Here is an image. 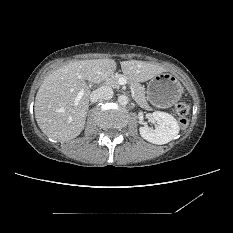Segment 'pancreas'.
Here are the masks:
<instances>
[{
  "instance_id": "pancreas-1",
  "label": "pancreas",
  "mask_w": 233,
  "mask_h": 233,
  "mask_svg": "<svg viewBox=\"0 0 233 233\" xmlns=\"http://www.w3.org/2000/svg\"><path fill=\"white\" fill-rule=\"evenodd\" d=\"M121 77H125L131 84L133 91H134L135 101L137 102V104L143 108L147 107L148 103L145 97V89L141 86V84L135 81H132L128 79L126 76L121 75V74L112 75L109 79H107V84L112 88L118 89L120 88L119 79Z\"/></svg>"
}]
</instances>
